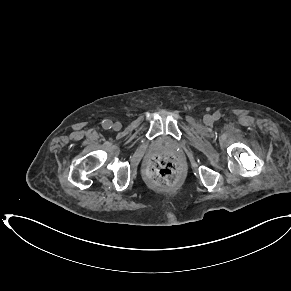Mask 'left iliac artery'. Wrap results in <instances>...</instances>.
<instances>
[{
  "label": "left iliac artery",
  "instance_id": "1",
  "mask_svg": "<svg viewBox=\"0 0 291 291\" xmlns=\"http://www.w3.org/2000/svg\"><path fill=\"white\" fill-rule=\"evenodd\" d=\"M214 117H215V119L217 120V119L220 118V114H219V113H215V114H214Z\"/></svg>",
  "mask_w": 291,
  "mask_h": 291
}]
</instances>
